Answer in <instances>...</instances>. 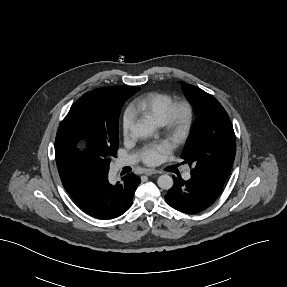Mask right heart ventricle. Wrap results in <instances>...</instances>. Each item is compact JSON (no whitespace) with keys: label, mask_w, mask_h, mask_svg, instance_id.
I'll return each instance as SVG.
<instances>
[{"label":"right heart ventricle","mask_w":287,"mask_h":287,"mask_svg":"<svg viewBox=\"0 0 287 287\" xmlns=\"http://www.w3.org/2000/svg\"><path fill=\"white\" fill-rule=\"evenodd\" d=\"M173 103V97L168 94L150 92L137 98L131 110L134 114L148 118L157 125H163Z\"/></svg>","instance_id":"e07e8e85"}]
</instances>
